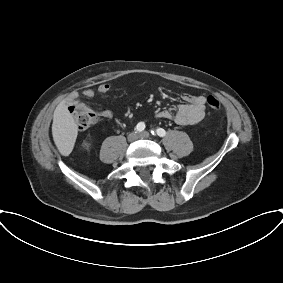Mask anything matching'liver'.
Listing matches in <instances>:
<instances>
[{
  "label": "liver",
  "mask_w": 283,
  "mask_h": 283,
  "mask_svg": "<svg viewBox=\"0 0 283 283\" xmlns=\"http://www.w3.org/2000/svg\"><path fill=\"white\" fill-rule=\"evenodd\" d=\"M78 127L73 116L69 113L65 102H60L54 113L52 135L55 145L63 156H68L74 147Z\"/></svg>",
  "instance_id": "1"
}]
</instances>
